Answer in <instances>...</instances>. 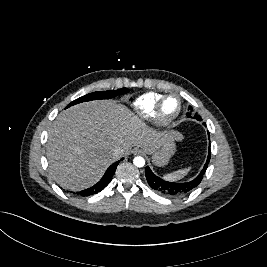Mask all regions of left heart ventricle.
I'll return each instance as SVG.
<instances>
[{
    "label": "left heart ventricle",
    "mask_w": 267,
    "mask_h": 267,
    "mask_svg": "<svg viewBox=\"0 0 267 267\" xmlns=\"http://www.w3.org/2000/svg\"><path fill=\"white\" fill-rule=\"evenodd\" d=\"M177 108H178L177 100L174 98L168 99L163 104V107L161 110L162 116L165 118L172 116L177 111Z\"/></svg>",
    "instance_id": "left-heart-ventricle-1"
}]
</instances>
